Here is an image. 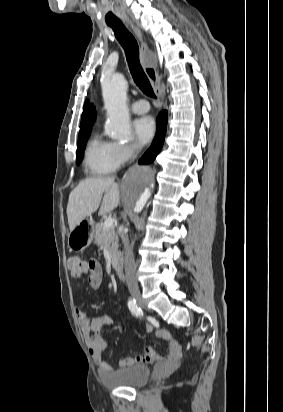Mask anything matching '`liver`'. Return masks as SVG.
<instances>
[{"instance_id":"1","label":"liver","mask_w":283,"mask_h":412,"mask_svg":"<svg viewBox=\"0 0 283 412\" xmlns=\"http://www.w3.org/2000/svg\"><path fill=\"white\" fill-rule=\"evenodd\" d=\"M119 201V187L114 177L88 178L81 181L71 191L68 199L67 217L70 231L99 207V215L110 213L118 206Z\"/></svg>"}]
</instances>
